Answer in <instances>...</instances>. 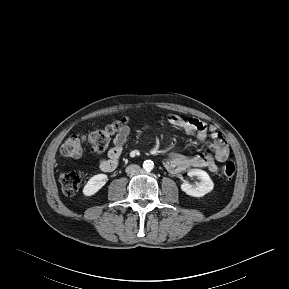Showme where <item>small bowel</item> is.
<instances>
[{"label": "small bowel", "instance_id": "c3829d8e", "mask_svg": "<svg viewBox=\"0 0 289 289\" xmlns=\"http://www.w3.org/2000/svg\"><path fill=\"white\" fill-rule=\"evenodd\" d=\"M166 120L176 129L194 137L197 142H203L207 138L210 139L209 151L191 155L170 152L164 160V166L170 173L178 174L192 168H207L210 172L215 173L217 171L215 161L222 162L228 158L227 142L215 126L192 117L183 119L172 113L167 115ZM129 133V127L124 126L115 135L112 146L108 149L105 157L100 160L99 165L103 171L110 172L117 167L123 145Z\"/></svg>", "mask_w": 289, "mask_h": 289}]
</instances>
